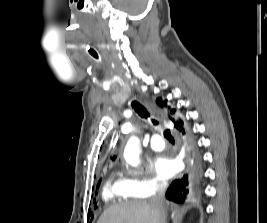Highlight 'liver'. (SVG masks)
<instances>
[{
    "mask_svg": "<svg viewBox=\"0 0 267 223\" xmlns=\"http://www.w3.org/2000/svg\"><path fill=\"white\" fill-rule=\"evenodd\" d=\"M161 210L147 201H130L107 208L97 223H161Z\"/></svg>",
    "mask_w": 267,
    "mask_h": 223,
    "instance_id": "liver-1",
    "label": "liver"
}]
</instances>
